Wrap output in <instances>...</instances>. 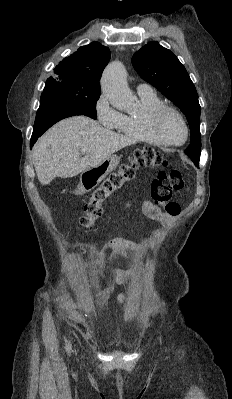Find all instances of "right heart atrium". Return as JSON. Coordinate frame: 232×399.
<instances>
[{
	"mask_svg": "<svg viewBox=\"0 0 232 399\" xmlns=\"http://www.w3.org/2000/svg\"><path fill=\"white\" fill-rule=\"evenodd\" d=\"M95 114L99 123L98 125H106V128L108 129H115L122 116L117 110L112 108L109 103H106V96H102L99 100L98 104L95 107Z\"/></svg>",
	"mask_w": 232,
	"mask_h": 399,
	"instance_id": "right-heart-atrium-1",
	"label": "right heart atrium"
}]
</instances>
